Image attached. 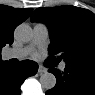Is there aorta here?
I'll list each match as a JSON object with an SVG mask.
<instances>
[{"mask_svg":"<svg viewBox=\"0 0 95 95\" xmlns=\"http://www.w3.org/2000/svg\"><path fill=\"white\" fill-rule=\"evenodd\" d=\"M14 36L19 41L28 42L33 37V30L28 24L22 23L15 28ZM40 84L47 90L54 88L56 85L55 75L49 72L42 74L40 76Z\"/></svg>","mask_w":95,"mask_h":95,"instance_id":"obj_1","label":"aorta"}]
</instances>
